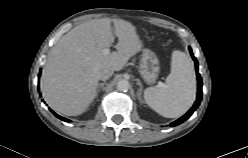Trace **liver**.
<instances>
[{"label": "liver", "mask_w": 248, "mask_h": 158, "mask_svg": "<svg viewBox=\"0 0 248 158\" xmlns=\"http://www.w3.org/2000/svg\"><path fill=\"white\" fill-rule=\"evenodd\" d=\"M111 22L102 18L82 23L52 49L40 86L45 101L56 112L67 116L83 113L96 97L100 72L105 68L120 71L142 49L136 28L128 21L114 19L116 51L103 54L114 42Z\"/></svg>", "instance_id": "1"}]
</instances>
